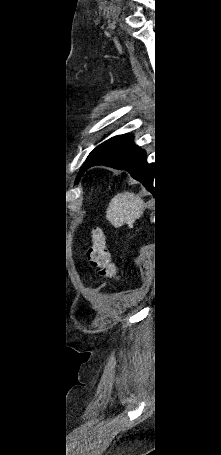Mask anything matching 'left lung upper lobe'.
Segmentation results:
<instances>
[{
  "label": "left lung upper lobe",
  "mask_w": 221,
  "mask_h": 455,
  "mask_svg": "<svg viewBox=\"0 0 221 455\" xmlns=\"http://www.w3.org/2000/svg\"><path fill=\"white\" fill-rule=\"evenodd\" d=\"M116 137H117V136L112 137V138H110L109 140H107V141L103 142L102 144H100L99 146H97V147L89 154V156L87 157L86 162L84 163V165H85L90 159H92L94 156H96V155H97V154H98V153H99V152H100V151H101L109 142H111V141H112L114 138H116ZM84 165H83V167H84ZM83 167L81 168L79 175L81 174V171H82Z\"/></svg>",
  "instance_id": "left-lung-upper-lobe-1"
}]
</instances>
